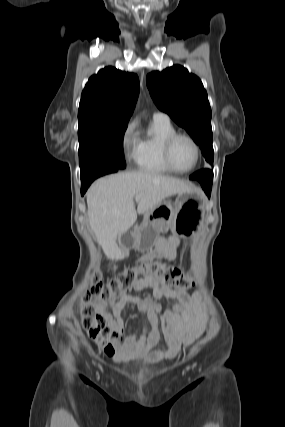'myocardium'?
Returning <instances> with one entry per match:
<instances>
[{
	"label": "myocardium",
	"instance_id": "obj_1",
	"mask_svg": "<svg viewBox=\"0 0 285 427\" xmlns=\"http://www.w3.org/2000/svg\"><path fill=\"white\" fill-rule=\"evenodd\" d=\"M179 138H185L188 141L191 142V144L194 147L195 150V160L193 165L187 169V170H179L178 168H176L172 162V158H171V151H172V147L175 143V141ZM163 159L164 162L166 164V166L175 173L178 174H188L192 171H194L199 163V159H200V147L198 145V143L196 142V140L189 134L187 133H183V132H175L173 134H171L164 142L163 145Z\"/></svg>",
	"mask_w": 285,
	"mask_h": 427
}]
</instances>
